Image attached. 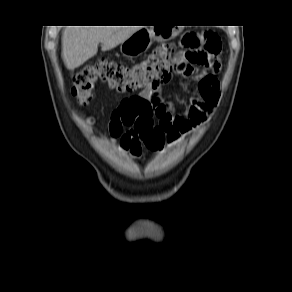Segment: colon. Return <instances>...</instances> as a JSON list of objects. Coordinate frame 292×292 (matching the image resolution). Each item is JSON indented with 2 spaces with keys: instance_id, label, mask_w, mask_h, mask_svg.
I'll return each instance as SVG.
<instances>
[{
  "instance_id": "obj_1",
  "label": "colon",
  "mask_w": 292,
  "mask_h": 292,
  "mask_svg": "<svg viewBox=\"0 0 292 292\" xmlns=\"http://www.w3.org/2000/svg\"><path fill=\"white\" fill-rule=\"evenodd\" d=\"M184 51L170 44L156 48L144 60L125 64L102 58L83 67L74 77L72 93L78 101L87 105L94 96L98 83H105L119 92L144 90L124 99L114 110L110 121V133L114 137L122 134L124 127H136L144 146L150 151L160 150L163 142L155 119L161 105L160 90L173 72L188 73L192 66L220 44L216 33L188 32L181 40Z\"/></svg>"
}]
</instances>
